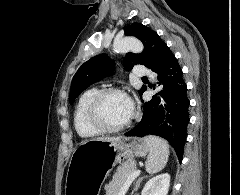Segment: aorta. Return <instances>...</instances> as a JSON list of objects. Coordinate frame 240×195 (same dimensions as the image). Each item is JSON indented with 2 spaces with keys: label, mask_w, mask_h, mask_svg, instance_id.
Returning <instances> with one entry per match:
<instances>
[{
  "label": "aorta",
  "mask_w": 240,
  "mask_h": 195,
  "mask_svg": "<svg viewBox=\"0 0 240 195\" xmlns=\"http://www.w3.org/2000/svg\"><path fill=\"white\" fill-rule=\"evenodd\" d=\"M113 50H115V52H120V54H124V52L140 54V52H143L144 46L137 38H123L120 42H114Z\"/></svg>",
  "instance_id": "aorta-1"
}]
</instances>
